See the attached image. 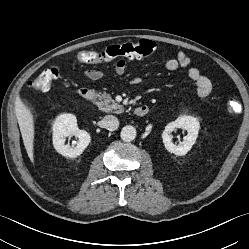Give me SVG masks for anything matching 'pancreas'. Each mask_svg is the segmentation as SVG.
<instances>
[{
    "instance_id": "cf45deb5",
    "label": "pancreas",
    "mask_w": 249,
    "mask_h": 249,
    "mask_svg": "<svg viewBox=\"0 0 249 249\" xmlns=\"http://www.w3.org/2000/svg\"><path fill=\"white\" fill-rule=\"evenodd\" d=\"M98 101L96 102V105L98 106V108L102 111L105 112H112V113H122L123 112V108L120 104L116 103L110 94H106V93H99L97 95Z\"/></svg>"
}]
</instances>
